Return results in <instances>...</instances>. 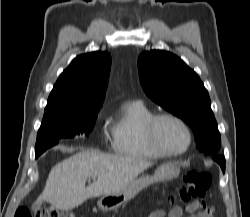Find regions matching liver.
I'll list each match as a JSON object with an SVG mask.
<instances>
[{"label":"liver","mask_w":250,"mask_h":217,"mask_svg":"<svg viewBox=\"0 0 250 217\" xmlns=\"http://www.w3.org/2000/svg\"><path fill=\"white\" fill-rule=\"evenodd\" d=\"M152 162L127 156L79 152L55 165L36 203L46 201L58 209L71 210L87 199L126 189ZM88 177L94 178L85 186Z\"/></svg>","instance_id":"1"}]
</instances>
